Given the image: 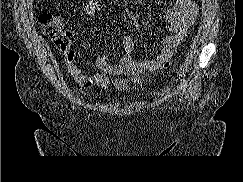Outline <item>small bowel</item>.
Masks as SVG:
<instances>
[{"label": "small bowel", "instance_id": "small-bowel-1", "mask_svg": "<svg viewBox=\"0 0 243 182\" xmlns=\"http://www.w3.org/2000/svg\"><path fill=\"white\" fill-rule=\"evenodd\" d=\"M101 10L99 0H88L83 13L92 18ZM161 12L167 20V31L160 40V54L156 57H135L134 42L131 37L123 38L124 55L118 63L112 64L103 54L94 61L95 73L84 71L77 63L75 52L69 48L65 52V65L69 75L85 88L98 87L108 90L112 85L117 90H126L130 82L139 84L145 72L157 70L163 61L169 59L178 45L187 36L190 26L197 17V5L192 0H175Z\"/></svg>", "mask_w": 243, "mask_h": 182}]
</instances>
